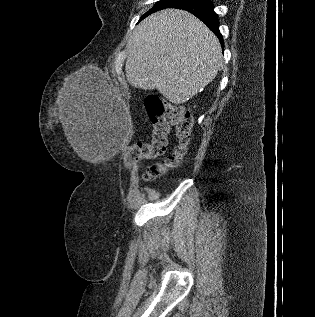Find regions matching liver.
Returning <instances> with one entry per match:
<instances>
[{
    "instance_id": "6515ba94",
    "label": "liver",
    "mask_w": 315,
    "mask_h": 317,
    "mask_svg": "<svg viewBox=\"0 0 315 317\" xmlns=\"http://www.w3.org/2000/svg\"><path fill=\"white\" fill-rule=\"evenodd\" d=\"M222 58L218 38L194 15L166 9L135 29L125 65L129 84L158 91L174 104L185 103L217 75ZM60 121L68 142L85 158L84 127L69 89L61 99Z\"/></svg>"
}]
</instances>
